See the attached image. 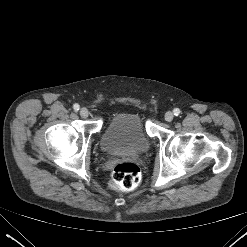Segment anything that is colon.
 <instances>
[{"mask_svg":"<svg viewBox=\"0 0 247 247\" xmlns=\"http://www.w3.org/2000/svg\"><path fill=\"white\" fill-rule=\"evenodd\" d=\"M112 180L117 188L121 190H132L140 183V168L132 162L119 163L112 171Z\"/></svg>","mask_w":247,"mask_h":247,"instance_id":"obj_1","label":"colon"}]
</instances>
